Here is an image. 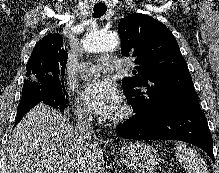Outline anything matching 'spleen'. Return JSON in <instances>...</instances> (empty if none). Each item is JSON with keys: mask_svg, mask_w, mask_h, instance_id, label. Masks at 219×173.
Returning a JSON list of instances; mask_svg holds the SVG:
<instances>
[{"mask_svg": "<svg viewBox=\"0 0 219 173\" xmlns=\"http://www.w3.org/2000/svg\"><path fill=\"white\" fill-rule=\"evenodd\" d=\"M175 154L181 166L188 173H209L206 165L197 152L187 147L185 144L178 143L175 146Z\"/></svg>", "mask_w": 219, "mask_h": 173, "instance_id": "1", "label": "spleen"}]
</instances>
